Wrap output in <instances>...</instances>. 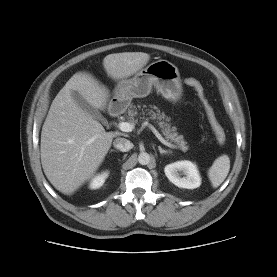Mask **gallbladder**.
I'll list each match as a JSON object with an SVG mask.
<instances>
[{"mask_svg": "<svg viewBox=\"0 0 277 277\" xmlns=\"http://www.w3.org/2000/svg\"><path fill=\"white\" fill-rule=\"evenodd\" d=\"M72 98L85 112L89 113L93 118L99 120L102 124L107 125L108 122L106 118H104L97 109L89 105V103L77 91L72 92Z\"/></svg>", "mask_w": 277, "mask_h": 277, "instance_id": "obj_1", "label": "gallbladder"}]
</instances>
